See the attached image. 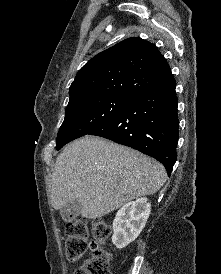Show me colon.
<instances>
[{"label":"colon","instance_id":"obj_1","mask_svg":"<svg viewBox=\"0 0 221 274\" xmlns=\"http://www.w3.org/2000/svg\"><path fill=\"white\" fill-rule=\"evenodd\" d=\"M91 231L93 241L88 245L89 227L85 219H74L66 225L67 258L74 261L84 255L88 246L91 250L90 256L75 270L74 274H110L111 254L105 248V244L111 234V227L106 221L96 219L91 223Z\"/></svg>","mask_w":221,"mask_h":274}]
</instances>
